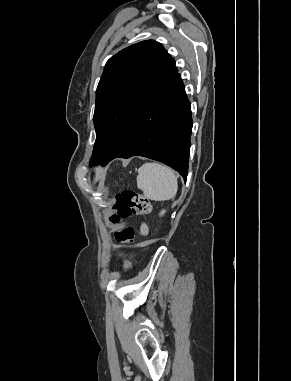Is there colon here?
<instances>
[{
	"label": "colon",
	"instance_id": "colon-1",
	"mask_svg": "<svg viewBox=\"0 0 291 381\" xmlns=\"http://www.w3.org/2000/svg\"><path fill=\"white\" fill-rule=\"evenodd\" d=\"M114 210L115 212L109 217V221L115 226L114 238L120 246L119 258L123 267L129 269L131 267L128 258L129 252L124 247L133 245L137 234L135 228L127 224L125 220L132 215L150 213L152 205L147 197L133 190H124L117 195Z\"/></svg>",
	"mask_w": 291,
	"mask_h": 381
}]
</instances>
